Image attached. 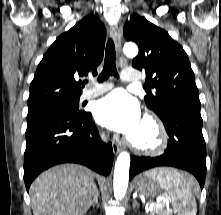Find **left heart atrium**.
<instances>
[{
	"instance_id": "39dd6f15",
	"label": "left heart atrium",
	"mask_w": 221,
	"mask_h": 215,
	"mask_svg": "<svg viewBox=\"0 0 221 215\" xmlns=\"http://www.w3.org/2000/svg\"><path fill=\"white\" fill-rule=\"evenodd\" d=\"M94 113L99 124L128 137H133L142 123L138 102L123 90L99 100Z\"/></svg>"
}]
</instances>
